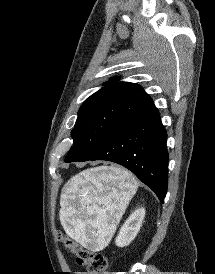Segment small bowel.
Segmentation results:
<instances>
[{
	"instance_id": "c3829d8e",
	"label": "small bowel",
	"mask_w": 215,
	"mask_h": 274,
	"mask_svg": "<svg viewBox=\"0 0 215 274\" xmlns=\"http://www.w3.org/2000/svg\"><path fill=\"white\" fill-rule=\"evenodd\" d=\"M76 274H87V272H77Z\"/></svg>"
}]
</instances>
